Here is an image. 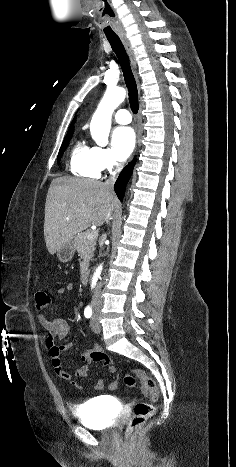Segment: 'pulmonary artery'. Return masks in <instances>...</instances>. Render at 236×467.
<instances>
[{"mask_svg": "<svg viewBox=\"0 0 236 467\" xmlns=\"http://www.w3.org/2000/svg\"><path fill=\"white\" fill-rule=\"evenodd\" d=\"M114 119L119 124H129L131 122V115L128 110L121 109L115 113Z\"/></svg>", "mask_w": 236, "mask_h": 467, "instance_id": "1", "label": "pulmonary artery"}]
</instances>
